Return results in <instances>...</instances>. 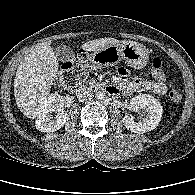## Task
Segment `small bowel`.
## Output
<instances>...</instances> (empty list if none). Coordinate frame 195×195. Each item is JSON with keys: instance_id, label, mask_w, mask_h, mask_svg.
Listing matches in <instances>:
<instances>
[{"instance_id": "c3829d8e", "label": "small bowel", "mask_w": 195, "mask_h": 195, "mask_svg": "<svg viewBox=\"0 0 195 195\" xmlns=\"http://www.w3.org/2000/svg\"><path fill=\"white\" fill-rule=\"evenodd\" d=\"M118 73L120 76H128V71L124 68H120ZM120 89L126 95L142 91H149L157 95H164L167 92L165 81L150 80L139 77L122 82Z\"/></svg>"}]
</instances>
